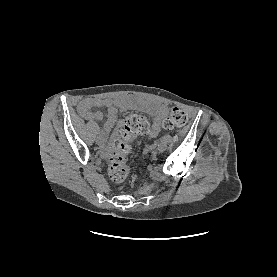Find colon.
Listing matches in <instances>:
<instances>
[{
  "instance_id": "5ec220e1",
  "label": "colon",
  "mask_w": 277,
  "mask_h": 277,
  "mask_svg": "<svg viewBox=\"0 0 277 277\" xmlns=\"http://www.w3.org/2000/svg\"><path fill=\"white\" fill-rule=\"evenodd\" d=\"M187 120V113L182 109L175 108L162 122V126L166 129L180 128L187 123ZM150 131L151 125L146 117L137 114H131L126 117L123 129L112 140L108 173L113 182L123 183L128 179L132 142L137 135L148 134Z\"/></svg>"
}]
</instances>
